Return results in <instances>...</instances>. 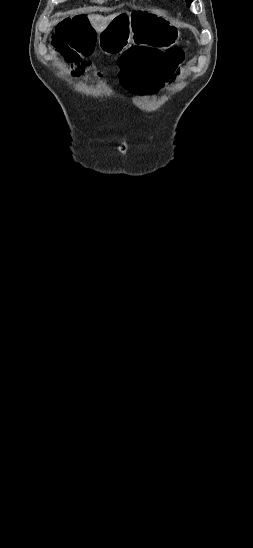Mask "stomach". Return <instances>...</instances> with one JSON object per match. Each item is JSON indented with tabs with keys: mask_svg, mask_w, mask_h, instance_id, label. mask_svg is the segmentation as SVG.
Wrapping results in <instances>:
<instances>
[{
	"mask_svg": "<svg viewBox=\"0 0 253 548\" xmlns=\"http://www.w3.org/2000/svg\"><path fill=\"white\" fill-rule=\"evenodd\" d=\"M180 32L168 21L145 11L119 13L97 35L100 50L118 54L132 43L170 46L178 42Z\"/></svg>",
	"mask_w": 253,
	"mask_h": 548,
	"instance_id": "0dacf381",
	"label": "stomach"
}]
</instances>
